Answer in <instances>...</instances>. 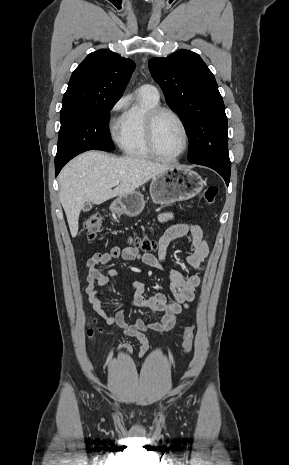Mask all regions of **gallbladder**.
<instances>
[{"mask_svg":"<svg viewBox=\"0 0 289 465\" xmlns=\"http://www.w3.org/2000/svg\"><path fill=\"white\" fill-rule=\"evenodd\" d=\"M92 208V204L90 202H87L83 206V211H89Z\"/></svg>","mask_w":289,"mask_h":465,"instance_id":"gallbladder-1","label":"gallbladder"}]
</instances>
